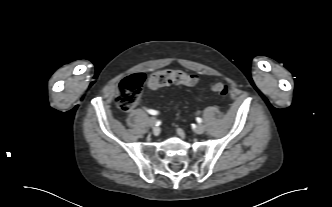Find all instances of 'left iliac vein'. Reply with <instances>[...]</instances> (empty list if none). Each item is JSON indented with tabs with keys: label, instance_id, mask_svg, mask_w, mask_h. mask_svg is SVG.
Listing matches in <instances>:
<instances>
[{
	"label": "left iliac vein",
	"instance_id": "left-iliac-vein-1",
	"mask_svg": "<svg viewBox=\"0 0 332 207\" xmlns=\"http://www.w3.org/2000/svg\"><path fill=\"white\" fill-rule=\"evenodd\" d=\"M205 131V127L202 124H198L195 128V133L202 134Z\"/></svg>",
	"mask_w": 332,
	"mask_h": 207
}]
</instances>
